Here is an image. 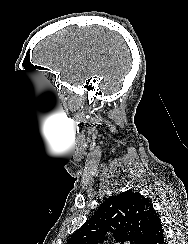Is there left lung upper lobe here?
Here are the masks:
<instances>
[{
  "label": "left lung upper lobe",
  "instance_id": "left-lung-upper-lobe-1",
  "mask_svg": "<svg viewBox=\"0 0 188 244\" xmlns=\"http://www.w3.org/2000/svg\"><path fill=\"white\" fill-rule=\"evenodd\" d=\"M156 214L148 198L126 191L108 198L66 244L103 242L107 232L123 244H144L148 228Z\"/></svg>",
  "mask_w": 188,
  "mask_h": 244
}]
</instances>
